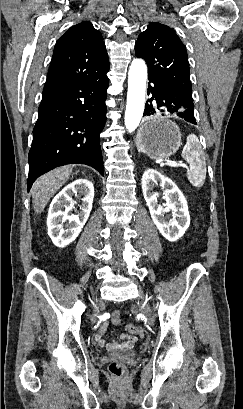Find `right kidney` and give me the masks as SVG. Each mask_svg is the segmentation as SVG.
<instances>
[{"label":"right kidney","mask_w":243,"mask_h":409,"mask_svg":"<svg viewBox=\"0 0 243 409\" xmlns=\"http://www.w3.org/2000/svg\"><path fill=\"white\" fill-rule=\"evenodd\" d=\"M83 195L80 211L72 214L77 194ZM94 186L87 179H77L65 186L52 200L47 217L48 235L57 247L73 242L84 227L92 209ZM65 208L64 211L62 209Z\"/></svg>","instance_id":"right-kidney-1"}]
</instances>
